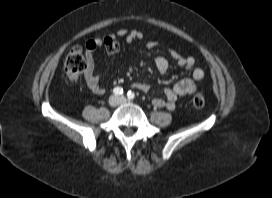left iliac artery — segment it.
<instances>
[{"mask_svg":"<svg viewBox=\"0 0 272 198\" xmlns=\"http://www.w3.org/2000/svg\"><path fill=\"white\" fill-rule=\"evenodd\" d=\"M127 97H128V99L132 100V99H134L135 94H134L132 91H129V92L127 93Z\"/></svg>","mask_w":272,"mask_h":198,"instance_id":"obj_1","label":"left iliac artery"}]
</instances>
